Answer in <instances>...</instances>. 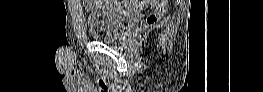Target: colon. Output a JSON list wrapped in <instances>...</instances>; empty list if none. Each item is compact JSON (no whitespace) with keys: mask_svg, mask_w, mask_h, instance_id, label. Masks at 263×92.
<instances>
[{"mask_svg":"<svg viewBox=\"0 0 263 92\" xmlns=\"http://www.w3.org/2000/svg\"><path fill=\"white\" fill-rule=\"evenodd\" d=\"M103 1H98L97 5H102ZM146 3H153V5H156L155 10L148 16L147 18V24L153 25L155 24L159 18L166 12L167 9V0H146L144 1Z\"/></svg>","mask_w":263,"mask_h":92,"instance_id":"1","label":"colon"}]
</instances>
